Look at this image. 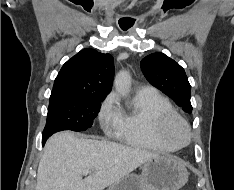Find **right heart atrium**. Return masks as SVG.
Returning <instances> with one entry per match:
<instances>
[{"instance_id":"d8ad5b80","label":"right heart atrium","mask_w":234,"mask_h":190,"mask_svg":"<svg viewBox=\"0 0 234 190\" xmlns=\"http://www.w3.org/2000/svg\"><path fill=\"white\" fill-rule=\"evenodd\" d=\"M118 117L116 96L110 93L104 98L98 111V120L101 128L106 132L116 129Z\"/></svg>"}]
</instances>
